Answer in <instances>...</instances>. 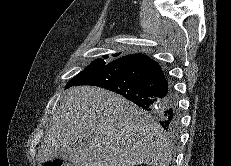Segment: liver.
<instances>
[{"label": "liver", "mask_w": 231, "mask_h": 166, "mask_svg": "<svg viewBox=\"0 0 231 166\" xmlns=\"http://www.w3.org/2000/svg\"><path fill=\"white\" fill-rule=\"evenodd\" d=\"M38 156L74 166H168L172 145L146 111L106 89L81 86L64 95Z\"/></svg>", "instance_id": "1"}]
</instances>
